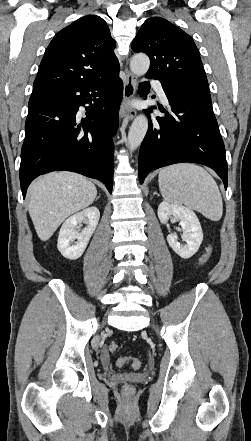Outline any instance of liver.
Instances as JSON below:
<instances>
[{"instance_id":"obj_1","label":"liver","mask_w":251,"mask_h":441,"mask_svg":"<svg viewBox=\"0 0 251 441\" xmlns=\"http://www.w3.org/2000/svg\"><path fill=\"white\" fill-rule=\"evenodd\" d=\"M28 196V211L36 233L47 241L67 217L94 202L97 189L82 175L52 172L35 180Z\"/></svg>"}]
</instances>
